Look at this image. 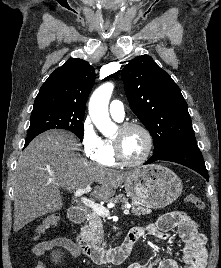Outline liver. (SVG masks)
<instances>
[{"label":"liver","instance_id":"6515ba94","mask_svg":"<svg viewBox=\"0 0 221 268\" xmlns=\"http://www.w3.org/2000/svg\"><path fill=\"white\" fill-rule=\"evenodd\" d=\"M78 147L71 133L50 130L21 153L14 181L15 232L37 217L60 210V188L77 190L98 183L91 196L107 200L134 174V170L121 172L92 163L75 153Z\"/></svg>","mask_w":221,"mask_h":268}]
</instances>
